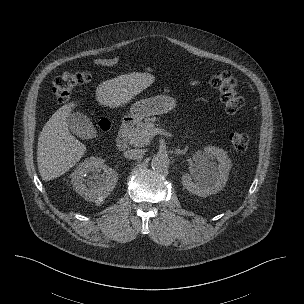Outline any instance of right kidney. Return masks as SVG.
Segmentation results:
<instances>
[{"label": "right kidney", "mask_w": 304, "mask_h": 304, "mask_svg": "<svg viewBox=\"0 0 304 304\" xmlns=\"http://www.w3.org/2000/svg\"><path fill=\"white\" fill-rule=\"evenodd\" d=\"M89 172L92 175L86 183L85 176ZM71 179L74 190L85 200L101 203L116 186L118 174L103 159L92 156L77 166Z\"/></svg>", "instance_id": "right-kidney-1"}]
</instances>
